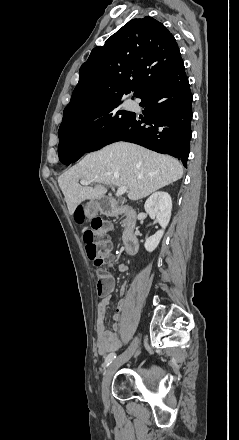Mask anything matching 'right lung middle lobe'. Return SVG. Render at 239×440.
Masks as SVG:
<instances>
[{"label": "right lung middle lobe", "mask_w": 239, "mask_h": 440, "mask_svg": "<svg viewBox=\"0 0 239 440\" xmlns=\"http://www.w3.org/2000/svg\"><path fill=\"white\" fill-rule=\"evenodd\" d=\"M120 100L112 99L94 111L62 122L58 131V150L63 147L88 146L100 135L127 121L133 113L119 110Z\"/></svg>", "instance_id": "obj_1"}]
</instances>
